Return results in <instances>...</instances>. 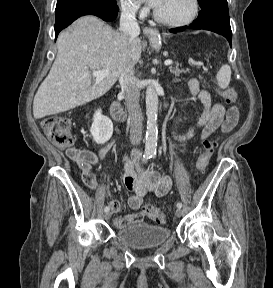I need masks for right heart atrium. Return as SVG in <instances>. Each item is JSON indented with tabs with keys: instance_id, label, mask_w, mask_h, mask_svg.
Listing matches in <instances>:
<instances>
[{
	"instance_id": "obj_1",
	"label": "right heart atrium",
	"mask_w": 273,
	"mask_h": 288,
	"mask_svg": "<svg viewBox=\"0 0 273 288\" xmlns=\"http://www.w3.org/2000/svg\"><path fill=\"white\" fill-rule=\"evenodd\" d=\"M122 12L130 18H142L146 10L141 7L138 0H119Z\"/></svg>"
}]
</instances>
